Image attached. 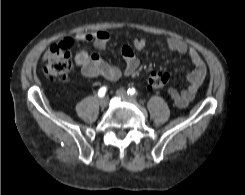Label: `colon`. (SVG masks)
Wrapping results in <instances>:
<instances>
[{
    "mask_svg": "<svg viewBox=\"0 0 245 195\" xmlns=\"http://www.w3.org/2000/svg\"><path fill=\"white\" fill-rule=\"evenodd\" d=\"M73 45L71 39L53 45L49 51V59L45 68V74L50 79H65L70 73L73 60L70 48ZM169 80V75L163 72L151 73L147 80V89L158 92L163 89Z\"/></svg>",
    "mask_w": 245,
    "mask_h": 195,
    "instance_id": "1",
    "label": "colon"
}]
</instances>
